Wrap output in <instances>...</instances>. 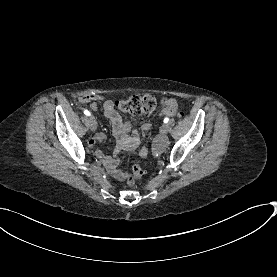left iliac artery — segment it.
Listing matches in <instances>:
<instances>
[{
	"instance_id": "left-iliac-artery-1",
	"label": "left iliac artery",
	"mask_w": 277,
	"mask_h": 277,
	"mask_svg": "<svg viewBox=\"0 0 277 277\" xmlns=\"http://www.w3.org/2000/svg\"><path fill=\"white\" fill-rule=\"evenodd\" d=\"M164 123H168V121H169V118L168 117H166V118H164Z\"/></svg>"
}]
</instances>
